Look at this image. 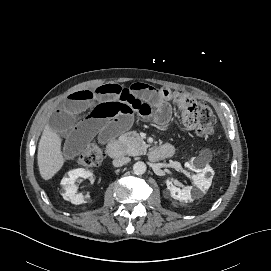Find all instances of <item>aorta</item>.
Instances as JSON below:
<instances>
[{
  "label": "aorta",
  "instance_id": "1",
  "mask_svg": "<svg viewBox=\"0 0 271 271\" xmlns=\"http://www.w3.org/2000/svg\"><path fill=\"white\" fill-rule=\"evenodd\" d=\"M146 169H147L146 164L142 161H138L133 165V172L136 175L144 174L146 172Z\"/></svg>",
  "mask_w": 271,
  "mask_h": 271
}]
</instances>
